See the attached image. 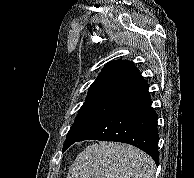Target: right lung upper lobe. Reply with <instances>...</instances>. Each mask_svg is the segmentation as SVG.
Returning <instances> with one entry per match:
<instances>
[{
  "mask_svg": "<svg viewBox=\"0 0 194 178\" xmlns=\"http://www.w3.org/2000/svg\"><path fill=\"white\" fill-rule=\"evenodd\" d=\"M149 94L148 83L131 61L109 62L89 88L86 100L102 99L127 103Z\"/></svg>",
  "mask_w": 194,
  "mask_h": 178,
  "instance_id": "right-lung-upper-lobe-1",
  "label": "right lung upper lobe"
}]
</instances>
